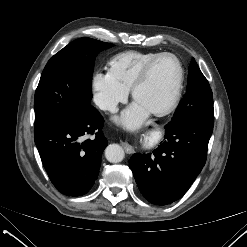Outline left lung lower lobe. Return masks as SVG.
<instances>
[{"label": "left lung lower lobe", "instance_id": "1", "mask_svg": "<svg viewBox=\"0 0 247 247\" xmlns=\"http://www.w3.org/2000/svg\"><path fill=\"white\" fill-rule=\"evenodd\" d=\"M213 122L196 116L165 126V141L152 154H134L129 165L142 195L156 205L181 198L201 172Z\"/></svg>", "mask_w": 247, "mask_h": 247}]
</instances>
